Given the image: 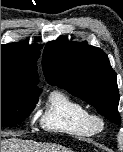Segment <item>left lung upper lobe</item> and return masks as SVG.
<instances>
[{"instance_id":"left-lung-upper-lobe-1","label":"left lung upper lobe","mask_w":123,"mask_h":152,"mask_svg":"<svg viewBox=\"0 0 123 152\" xmlns=\"http://www.w3.org/2000/svg\"><path fill=\"white\" fill-rule=\"evenodd\" d=\"M42 66L49 84L83 99L114 124L121 123L116 73L101 49L86 42H49Z\"/></svg>"}]
</instances>
